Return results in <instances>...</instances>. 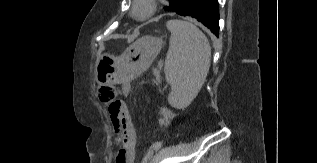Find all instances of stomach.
<instances>
[{"instance_id":"stomach-1","label":"stomach","mask_w":317,"mask_h":163,"mask_svg":"<svg viewBox=\"0 0 317 163\" xmlns=\"http://www.w3.org/2000/svg\"><path fill=\"white\" fill-rule=\"evenodd\" d=\"M163 45L162 38L144 36L131 44L120 56L101 55L95 65L99 85L130 81L147 69Z\"/></svg>"}]
</instances>
